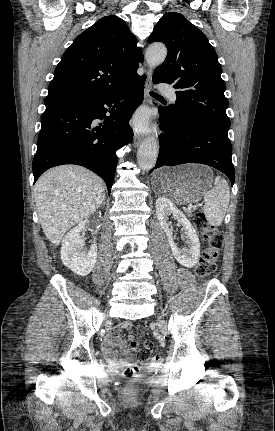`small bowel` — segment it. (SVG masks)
Segmentation results:
<instances>
[{
	"mask_svg": "<svg viewBox=\"0 0 275 431\" xmlns=\"http://www.w3.org/2000/svg\"><path fill=\"white\" fill-rule=\"evenodd\" d=\"M178 276L182 286L189 287L193 284V277L188 270L180 269ZM131 328L132 325L129 322L120 323L116 327L114 334L108 336L103 343L104 355L108 362L114 367H118L131 360L130 353L121 337L124 330H129ZM114 346L119 349L122 358H120L118 352L114 350Z\"/></svg>",
	"mask_w": 275,
	"mask_h": 431,
	"instance_id": "small-bowel-1",
	"label": "small bowel"
}]
</instances>
